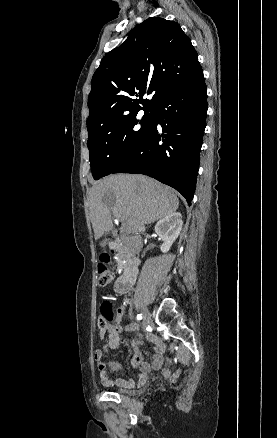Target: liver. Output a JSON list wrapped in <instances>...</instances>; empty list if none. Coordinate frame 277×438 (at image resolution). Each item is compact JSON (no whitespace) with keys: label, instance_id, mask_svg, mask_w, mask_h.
Here are the masks:
<instances>
[{"label":"liver","instance_id":"obj_1","mask_svg":"<svg viewBox=\"0 0 277 438\" xmlns=\"http://www.w3.org/2000/svg\"><path fill=\"white\" fill-rule=\"evenodd\" d=\"M179 208L170 188L141 174L108 176L90 192V214L95 240L111 232V214L126 232H139L145 224L162 220Z\"/></svg>","mask_w":277,"mask_h":438}]
</instances>
